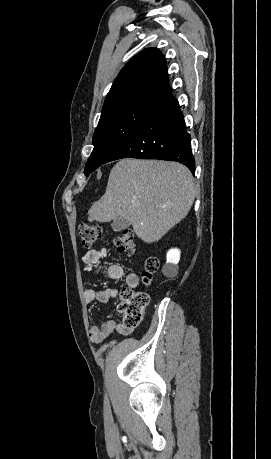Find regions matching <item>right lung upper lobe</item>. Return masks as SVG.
Here are the masks:
<instances>
[{"instance_id": "1", "label": "right lung upper lobe", "mask_w": 271, "mask_h": 459, "mask_svg": "<svg viewBox=\"0 0 271 459\" xmlns=\"http://www.w3.org/2000/svg\"><path fill=\"white\" fill-rule=\"evenodd\" d=\"M168 73L162 53L147 48L120 71L103 105L101 117L132 109L158 113L172 104Z\"/></svg>"}]
</instances>
